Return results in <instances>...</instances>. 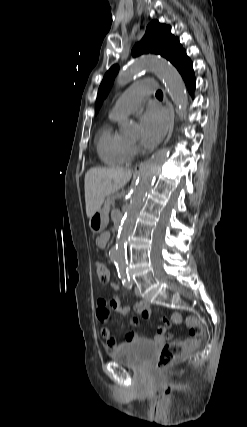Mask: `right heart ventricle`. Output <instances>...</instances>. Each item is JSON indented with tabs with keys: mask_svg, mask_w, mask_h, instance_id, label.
<instances>
[{
	"mask_svg": "<svg viewBox=\"0 0 247 427\" xmlns=\"http://www.w3.org/2000/svg\"><path fill=\"white\" fill-rule=\"evenodd\" d=\"M96 147L101 161L109 166L126 164L132 157L131 145L114 130L111 124L104 125L99 131Z\"/></svg>",
	"mask_w": 247,
	"mask_h": 427,
	"instance_id": "e07e8e85",
	"label": "right heart ventricle"
}]
</instances>
